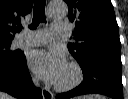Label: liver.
<instances>
[{
  "instance_id": "liver-1",
  "label": "liver",
  "mask_w": 128,
  "mask_h": 99,
  "mask_svg": "<svg viewBox=\"0 0 128 99\" xmlns=\"http://www.w3.org/2000/svg\"><path fill=\"white\" fill-rule=\"evenodd\" d=\"M91 97H93V98H91ZM94 97H96V98H94ZM0 99H14V98H12L11 96H9L6 93L0 92ZM84 99H104V98L96 95V96H87V97H84Z\"/></svg>"
}]
</instances>
